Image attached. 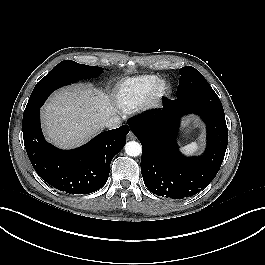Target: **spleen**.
<instances>
[{
    "label": "spleen",
    "instance_id": "obj_1",
    "mask_svg": "<svg viewBox=\"0 0 265 265\" xmlns=\"http://www.w3.org/2000/svg\"><path fill=\"white\" fill-rule=\"evenodd\" d=\"M198 149H199L198 142H191L190 144L182 147L181 151L186 155H193L198 151Z\"/></svg>",
    "mask_w": 265,
    "mask_h": 265
}]
</instances>
